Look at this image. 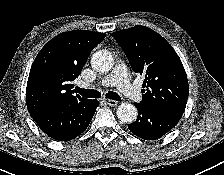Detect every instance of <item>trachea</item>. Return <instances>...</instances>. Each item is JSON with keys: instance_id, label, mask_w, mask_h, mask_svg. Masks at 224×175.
<instances>
[{"instance_id": "trachea-1", "label": "trachea", "mask_w": 224, "mask_h": 175, "mask_svg": "<svg viewBox=\"0 0 224 175\" xmlns=\"http://www.w3.org/2000/svg\"><path fill=\"white\" fill-rule=\"evenodd\" d=\"M76 93L81 94L85 98H100L101 93L98 92L97 90H90V89H81L79 87L75 88ZM106 98L116 100V101H121V97L113 91H109L106 93Z\"/></svg>"}]
</instances>
